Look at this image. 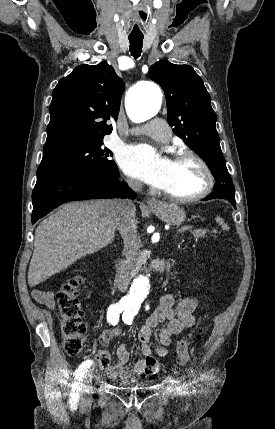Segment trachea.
<instances>
[{"label": "trachea", "instance_id": "3493384b", "mask_svg": "<svg viewBox=\"0 0 275 429\" xmlns=\"http://www.w3.org/2000/svg\"><path fill=\"white\" fill-rule=\"evenodd\" d=\"M130 52L134 58H138L142 52L143 37H129Z\"/></svg>", "mask_w": 275, "mask_h": 429}]
</instances>
